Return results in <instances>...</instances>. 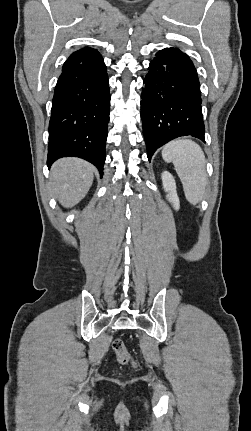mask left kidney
Masks as SVG:
<instances>
[{
    "label": "left kidney",
    "instance_id": "5707ae66",
    "mask_svg": "<svg viewBox=\"0 0 251 431\" xmlns=\"http://www.w3.org/2000/svg\"><path fill=\"white\" fill-rule=\"evenodd\" d=\"M162 182H163V188L165 192H167V199L168 201L173 205V208L175 210H179L180 208V202L176 191V183L168 171H164L162 173Z\"/></svg>",
    "mask_w": 251,
    "mask_h": 431
}]
</instances>
